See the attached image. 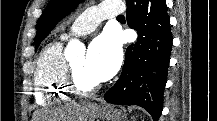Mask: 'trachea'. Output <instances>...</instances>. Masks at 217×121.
<instances>
[{"instance_id":"1","label":"trachea","mask_w":217,"mask_h":121,"mask_svg":"<svg viewBox=\"0 0 217 121\" xmlns=\"http://www.w3.org/2000/svg\"><path fill=\"white\" fill-rule=\"evenodd\" d=\"M119 17L121 18V17H124L123 15H119Z\"/></svg>"}]
</instances>
